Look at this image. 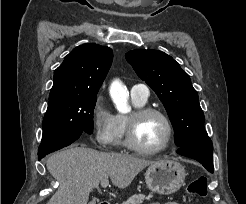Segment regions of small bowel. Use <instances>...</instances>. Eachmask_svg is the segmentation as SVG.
<instances>
[{
  "mask_svg": "<svg viewBox=\"0 0 246 204\" xmlns=\"http://www.w3.org/2000/svg\"><path fill=\"white\" fill-rule=\"evenodd\" d=\"M150 204H159V203H150ZM165 204H178L176 202H168V203H165Z\"/></svg>",
  "mask_w": 246,
  "mask_h": 204,
  "instance_id": "c3829d8e",
  "label": "small bowel"
}]
</instances>
